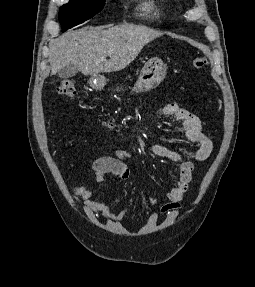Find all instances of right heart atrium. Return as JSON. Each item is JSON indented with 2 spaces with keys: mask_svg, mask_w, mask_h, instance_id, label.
<instances>
[{
  "mask_svg": "<svg viewBox=\"0 0 255 287\" xmlns=\"http://www.w3.org/2000/svg\"><path fill=\"white\" fill-rule=\"evenodd\" d=\"M113 48H126V47H113Z\"/></svg>",
  "mask_w": 255,
  "mask_h": 287,
  "instance_id": "obj_1",
  "label": "right heart atrium"
}]
</instances>
